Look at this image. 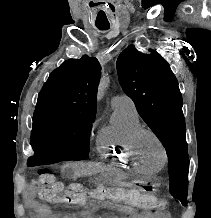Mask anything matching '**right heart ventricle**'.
I'll use <instances>...</instances> for the list:
<instances>
[{
	"label": "right heart ventricle",
	"instance_id": "right-heart-ventricle-1",
	"mask_svg": "<svg viewBox=\"0 0 211 218\" xmlns=\"http://www.w3.org/2000/svg\"><path fill=\"white\" fill-rule=\"evenodd\" d=\"M142 127L136 109L113 108L110 124L104 127L96 140V154L104 157V162L119 165V169H139L134 160L133 134Z\"/></svg>",
	"mask_w": 211,
	"mask_h": 218
}]
</instances>
